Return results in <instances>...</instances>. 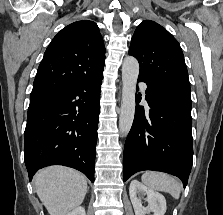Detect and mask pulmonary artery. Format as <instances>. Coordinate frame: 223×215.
Returning a JSON list of instances; mask_svg holds the SVG:
<instances>
[{"label": "pulmonary artery", "mask_w": 223, "mask_h": 215, "mask_svg": "<svg viewBox=\"0 0 223 215\" xmlns=\"http://www.w3.org/2000/svg\"><path fill=\"white\" fill-rule=\"evenodd\" d=\"M139 89L140 90H147L148 89V82H139ZM142 97L143 98H148L149 94L148 93H143Z\"/></svg>", "instance_id": "e3ab8cb5"}]
</instances>
